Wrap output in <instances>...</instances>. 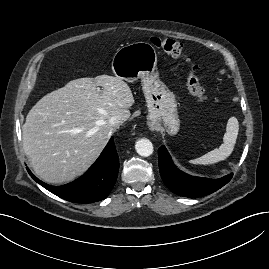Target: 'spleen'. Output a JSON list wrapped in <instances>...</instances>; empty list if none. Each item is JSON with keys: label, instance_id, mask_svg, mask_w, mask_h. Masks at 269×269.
Here are the masks:
<instances>
[{"label": "spleen", "instance_id": "spleen-1", "mask_svg": "<svg viewBox=\"0 0 269 269\" xmlns=\"http://www.w3.org/2000/svg\"><path fill=\"white\" fill-rule=\"evenodd\" d=\"M239 131L238 120L235 117L229 118L226 126V132L223 136V143L203 156L190 160L193 164L209 165L225 160L232 153L236 144Z\"/></svg>", "mask_w": 269, "mask_h": 269}]
</instances>
